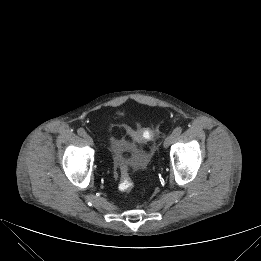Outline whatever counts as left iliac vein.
Listing matches in <instances>:
<instances>
[{
	"label": "left iliac vein",
	"mask_w": 261,
	"mask_h": 261,
	"mask_svg": "<svg viewBox=\"0 0 261 261\" xmlns=\"http://www.w3.org/2000/svg\"><path fill=\"white\" fill-rule=\"evenodd\" d=\"M176 139V136L174 134H171L167 136L163 142L164 148H167L172 142Z\"/></svg>",
	"instance_id": "1"
}]
</instances>
